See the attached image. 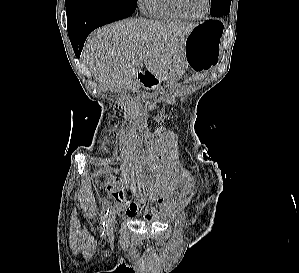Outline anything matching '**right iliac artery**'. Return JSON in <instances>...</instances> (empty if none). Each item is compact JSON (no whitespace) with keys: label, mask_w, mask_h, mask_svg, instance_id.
Here are the masks:
<instances>
[{"label":"right iliac artery","mask_w":299,"mask_h":273,"mask_svg":"<svg viewBox=\"0 0 299 273\" xmlns=\"http://www.w3.org/2000/svg\"><path fill=\"white\" fill-rule=\"evenodd\" d=\"M108 212H109V207H108V205H105L103 207L102 216H101V222H102L101 233L102 234H104V229H105V226H106Z\"/></svg>","instance_id":"right-iliac-artery-1"}]
</instances>
